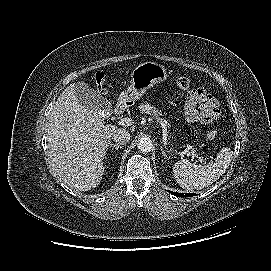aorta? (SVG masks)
<instances>
[{
    "label": "aorta",
    "mask_w": 271,
    "mask_h": 271,
    "mask_svg": "<svg viewBox=\"0 0 271 271\" xmlns=\"http://www.w3.org/2000/svg\"><path fill=\"white\" fill-rule=\"evenodd\" d=\"M138 149L143 153H148L153 148V142L148 137H142L137 144Z\"/></svg>",
    "instance_id": "obj_1"
}]
</instances>
